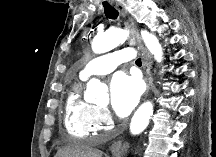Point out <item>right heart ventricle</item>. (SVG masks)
Returning <instances> with one entry per match:
<instances>
[{
  "label": "right heart ventricle",
  "mask_w": 216,
  "mask_h": 157,
  "mask_svg": "<svg viewBox=\"0 0 216 157\" xmlns=\"http://www.w3.org/2000/svg\"><path fill=\"white\" fill-rule=\"evenodd\" d=\"M95 106L81 96V84L75 83L66 99L64 126L66 131L79 138L89 137L94 131L92 116Z\"/></svg>",
  "instance_id": "1"
}]
</instances>
